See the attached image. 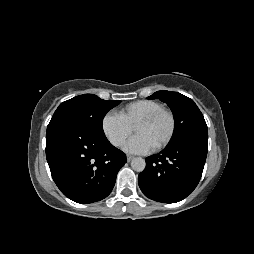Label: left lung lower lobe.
<instances>
[{"label":"left lung lower lobe","instance_id":"left-lung-lower-lobe-1","mask_svg":"<svg viewBox=\"0 0 254 254\" xmlns=\"http://www.w3.org/2000/svg\"><path fill=\"white\" fill-rule=\"evenodd\" d=\"M208 150V138L193 137L167 145L146 158L138 183L146 197L162 203L186 198L200 181Z\"/></svg>","mask_w":254,"mask_h":254}]
</instances>
